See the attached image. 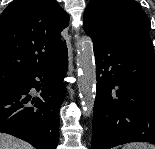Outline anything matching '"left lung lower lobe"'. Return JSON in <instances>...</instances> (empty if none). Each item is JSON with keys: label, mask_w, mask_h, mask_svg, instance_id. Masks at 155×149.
Instances as JSON below:
<instances>
[{"label": "left lung lower lobe", "mask_w": 155, "mask_h": 149, "mask_svg": "<svg viewBox=\"0 0 155 149\" xmlns=\"http://www.w3.org/2000/svg\"><path fill=\"white\" fill-rule=\"evenodd\" d=\"M97 93L92 149L155 144V62L149 35L93 40Z\"/></svg>", "instance_id": "1"}]
</instances>
